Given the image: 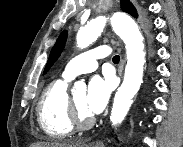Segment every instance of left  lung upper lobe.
<instances>
[{"label":"left lung upper lobe","instance_id":"obj_1","mask_svg":"<svg viewBox=\"0 0 183 147\" xmlns=\"http://www.w3.org/2000/svg\"><path fill=\"white\" fill-rule=\"evenodd\" d=\"M121 8L124 12H127L130 15L137 17L136 9L134 8V6L131 4V2L129 0H121ZM66 38H67V32L63 31L61 33V35L58 37L54 47L51 50L48 62L46 64V67L44 70V73H46L49 70V68L53 65V63L60 56V54L64 48Z\"/></svg>","mask_w":183,"mask_h":147}]
</instances>
